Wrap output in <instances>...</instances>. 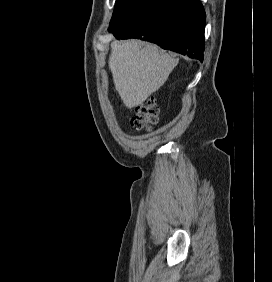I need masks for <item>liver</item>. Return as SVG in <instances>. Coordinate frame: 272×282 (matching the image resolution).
I'll return each instance as SVG.
<instances>
[{"mask_svg": "<svg viewBox=\"0 0 272 282\" xmlns=\"http://www.w3.org/2000/svg\"><path fill=\"white\" fill-rule=\"evenodd\" d=\"M177 64L178 59L154 44L138 40L111 44L109 69L115 89L128 109L142 104L163 86Z\"/></svg>", "mask_w": 272, "mask_h": 282, "instance_id": "6515ba94", "label": "liver"}]
</instances>
